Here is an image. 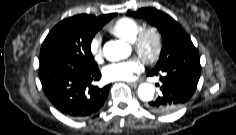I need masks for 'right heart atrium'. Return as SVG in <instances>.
I'll return each mask as SVG.
<instances>
[{"label":"right heart atrium","instance_id":"right-heart-atrium-1","mask_svg":"<svg viewBox=\"0 0 236 135\" xmlns=\"http://www.w3.org/2000/svg\"><path fill=\"white\" fill-rule=\"evenodd\" d=\"M103 39L100 34H95L90 40V51L96 59L102 57Z\"/></svg>","mask_w":236,"mask_h":135}]
</instances>
